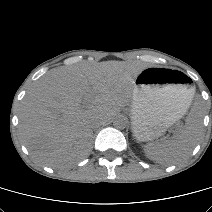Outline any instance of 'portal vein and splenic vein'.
Returning <instances> with one entry per match:
<instances>
[{
    "instance_id": "portal-vein-and-splenic-vein-1",
    "label": "portal vein and splenic vein",
    "mask_w": 212,
    "mask_h": 212,
    "mask_svg": "<svg viewBox=\"0 0 212 212\" xmlns=\"http://www.w3.org/2000/svg\"><path fill=\"white\" fill-rule=\"evenodd\" d=\"M86 102H87V104H86L87 106L91 105V101L90 100H87Z\"/></svg>"
}]
</instances>
